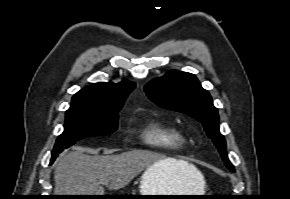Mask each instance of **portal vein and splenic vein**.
Here are the masks:
<instances>
[{
  "label": "portal vein and splenic vein",
  "mask_w": 290,
  "mask_h": 199,
  "mask_svg": "<svg viewBox=\"0 0 290 199\" xmlns=\"http://www.w3.org/2000/svg\"><path fill=\"white\" fill-rule=\"evenodd\" d=\"M103 184H104V185H107V184H108V182L106 181V182H104Z\"/></svg>",
  "instance_id": "1"
}]
</instances>
